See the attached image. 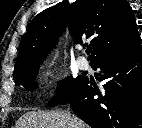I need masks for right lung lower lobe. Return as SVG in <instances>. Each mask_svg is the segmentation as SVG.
<instances>
[{"instance_id":"obj_1","label":"right lung lower lobe","mask_w":142,"mask_h":128,"mask_svg":"<svg viewBox=\"0 0 142 128\" xmlns=\"http://www.w3.org/2000/svg\"><path fill=\"white\" fill-rule=\"evenodd\" d=\"M99 89L85 78L69 103L92 128H142V45L97 61Z\"/></svg>"}]
</instances>
